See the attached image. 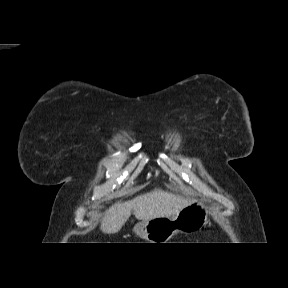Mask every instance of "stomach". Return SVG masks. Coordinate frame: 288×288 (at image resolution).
I'll return each mask as SVG.
<instances>
[{"label":"stomach","mask_w":288,"mask_h":288,"mask_svg":"<svg viewBox=\"0 0 288 288\" xmlns=\"http://www.w3.org/2000/svg\"><path fill=\"white\" fill-rule=\"evenodd\" d=\"M208 207L193 201L173 216L141 221L134 227L136 235L149 243H167L175 234L200 230L208 222Z\"/></svg>","instance_id":"0dacf381"}]
</instances>
